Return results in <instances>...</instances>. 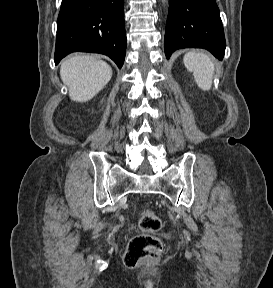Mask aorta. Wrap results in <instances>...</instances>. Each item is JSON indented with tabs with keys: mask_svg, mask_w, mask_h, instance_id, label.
I'll use <instances>...</instances> for the list:
<instances>
[{
	"mask_svg": "<svg viewBox=\"0 0 273 288\" xmlns=\"http://www.w3.org/2000/svg\"><path fill=\"white\" fill-rule=\"evenodd\" d=\"M163 4H167L168 0H162Z\"/></svg>",
	"mask_w": 273,
	"mask_h": 288,
	"instance_id": "aorta-1",
	"label": "aorta"
}]
</instances>
